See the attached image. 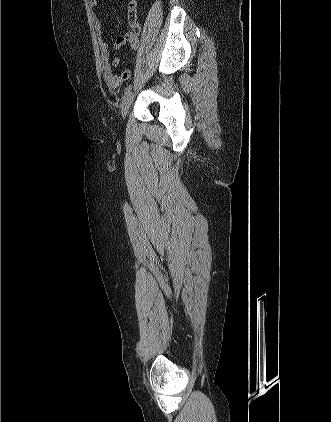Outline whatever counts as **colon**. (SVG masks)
<instances>
[{"label": "colon", "mask_w": 331, "mask_h": 422, "mask_svg": "<svg viewBox=\"0 0 331 422\" xmlns=\"http://www.w3.org/2000/svg\"><path fill=\"white\" fill-rule=\"evenodd\" d=\"M131 17H132V19H133V20H135V14H134V11H132V12H131Z\"/></svg>", "instance_id": "1"}]
</instances>
